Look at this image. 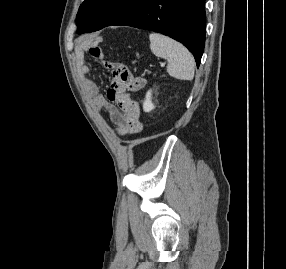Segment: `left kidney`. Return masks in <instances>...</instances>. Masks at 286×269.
Listing matches in <instances>:
<instances>
[{
	"label": "left kidney",
	"mask_w": 286,
	"mask_h": 269,
	"mask_svg": "<svg viewBox=\"0 0 286 269\" xmlns=\"http://www.w3.org/2000/svg\"><path fill=\"white\" fill-rule=\"evenodd\" d=\"M151 98H152V91L149 90L146 93L145 101L143 103V110L145 112H150L151 110H153L155 108L154 104L151 101Z\"/></svg>",
	"instance_id": "1"
}]
</instances>
